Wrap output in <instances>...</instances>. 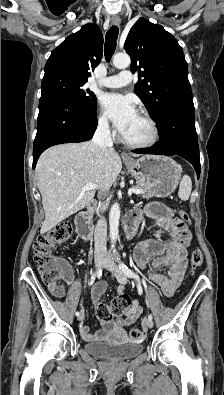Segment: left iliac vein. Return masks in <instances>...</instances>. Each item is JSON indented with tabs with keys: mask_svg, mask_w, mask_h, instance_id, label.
Wrapping results in <instances>:
<instances>
[{
	"mask_svg": "<svg viewBox=\"0 0 224 395\" xmlns=\"http://www.w3.org/2000/svg\"><path fill=\"white\" fill-rule=\"evenodd\" d=\"M104 267L107 268L110 272H112L118 282L122 285L127 284V277L126 275L122 272V270L118 267V265L110 258L106 257L103 261ZM144 326L146 328H152L153 327V321L150 318H147L144 320Z\"/></svg>",
	"mask_w": 224,
	"mask_h": 395,
	"instance_id": "left-iliac-vein-1",
	"label": "left iliac vein"
}]
</instances>
